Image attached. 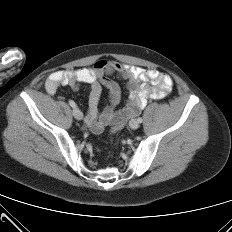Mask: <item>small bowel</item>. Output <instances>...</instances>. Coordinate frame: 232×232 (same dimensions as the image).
Returning a JSON list of instances; mask_svg holds the SVG:
<instances>
[{"mask_svg":"<svg viewBox=\"0 0 232 232\" xmlns=\"http://www.w3.org/2000/svg\"><path fill=\"white\" fill-rule=\"evenodd\" d=\"M112 74L125 80L129 92L128 103L120 111L115 110L120 100V89L110 78ZM82 84L90 87L85 124L92 132L99 133L104 126L121 122L122 116H127L128 119L136 116L148 100L162 99L169 95L173 80L171 76L157 69L101 59L91 67L55 71L50 74L45 86L48 93L54 94L60 87L78 90ZM102 86L109 90L110 104L99 114L98 103Z\"/></svg>","mask_w":232,"mask_h":232,"instance_id":"c3829d8e","label":"small bowel"}]
</instances>
